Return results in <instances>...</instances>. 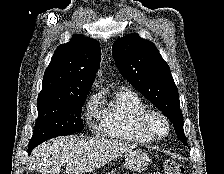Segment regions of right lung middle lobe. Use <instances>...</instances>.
Returning <instances> with one entry per match:
<instances>
[{
  "label": "right lung middle lobe",
  "instance_id": "obj_1",
  "mask_svg": "<svg viewBox=\"0 0 224 174\" xmlns=\"http://www.w3.org/2000/svg\"><path fill=\"white\" fill-rule=\"evenodd\" d=\"M85 98L86 95L67 99H38V118L29 147L83 130L81 112Z\"/></svg>",
  "mask_w": 224,
  "mask_h": 174
}]
</instances>
